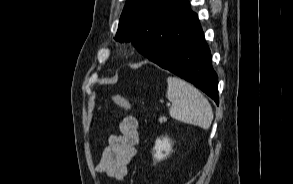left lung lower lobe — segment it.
<instances>
[{
	"label": "left lung lower lobe",
	"mask_w": 293,
	"mask_h": 184,
	"mask_svg": "<svg viewBox=\"0 0 293 184\" xmlns=\"http://www.w3.org/2000/svg\"><path fill=\"white\" fill-rule=\"evenodd\" d=\"M149 50L154 52L149 60L193 83L218 104V78L212 68L211 53L188 0L171 16L167 30Z\"/></svg>",
	"instance_id": "obj_1"
}]
</instances>
